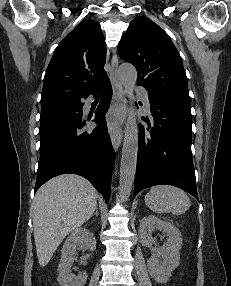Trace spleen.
<instances>
[{
    "label": "spleen",
    "instance_id": "3e777b00",
    "mask_svg": "<svg viewBox=\"0 0 231 286\" xmlns=\"http://www.w3.org/2000/svg\"><path fill=\"white\" fill-rule=\"evenodd\" d=\"M145 204L155 213H173L181 215L191 206L187 194L170 185H157L145 195Z\"/></svg>",
    "mask_w": 231,
    "mask_h": 286
}]
</instances>
